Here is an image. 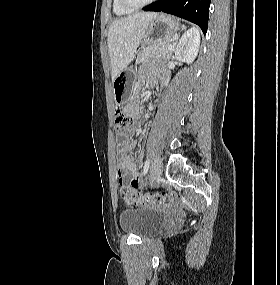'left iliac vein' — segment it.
<instances>
[{"label":"left iliac vein","mask_w":280,"mask_h":285,"mask_svg":"<svg viewBox=\"0 0 280 285\" xmlns=\"http://www.w3.org/2000/svg\"><path fill=\"white\" fill-rule=\"evenodd\" d=\"M162 170H163V163H162L161 158L158 156L155 158L154 163L151 168V172H150L151 184H155L158 181V179L161 177Z\"/></svg>","instance_id":"obj_1"}]
</instances>
